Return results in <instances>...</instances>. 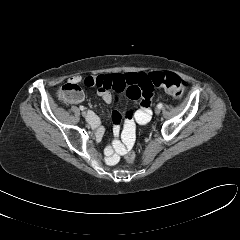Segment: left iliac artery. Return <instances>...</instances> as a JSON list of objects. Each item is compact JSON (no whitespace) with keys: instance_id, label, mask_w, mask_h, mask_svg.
Listing matches in <instances>:
<instances>
[{"instance_id":"1","label":"left iliac artery","mask_w":240,"mask_h":240,"mask_svg":"<svg viewBox=\"0 0 240 240\" xmlns=\"http://www.w3.org/2000/svg\"><path fill=\"white\" fill-rule=\"evenodd\" d=\"M163 107V104L162 103H159L158 105H157V108H162Z\"/></svg>"}]
</instances>
